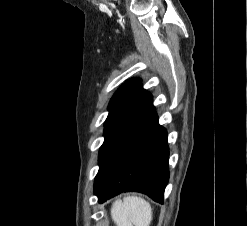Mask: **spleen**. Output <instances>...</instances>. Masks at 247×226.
<instances>
[{"label": "spleen", "instance_id": "3e777b00", "mask_svg": "<svg viewBox=\"0 0 247 226\" xmlns=\"http://www.w3.org/2000/svg\"><path fill=\"white\" fill-rule=\"evenodd\" d=\"M111 216L117 226H149L152 208L144 199L128 196L113 203Z\"/></svg>", "mask_w": 247, "mask_h": 226}]
</instances>
